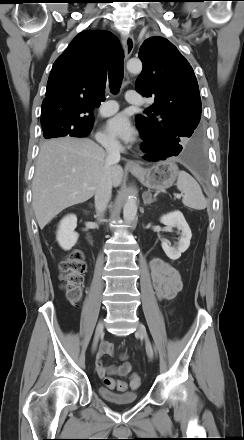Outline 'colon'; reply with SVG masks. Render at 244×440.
<instances>
[{"label": "colon", "instance_id": "obj_1", "mask_svg": "<svg viewBox=\"0 0 244 440\" xmlns=\"http://www.w3.org/2000/svg\"><path fill=\"white\" fill-rule=\"evenodd\" d=\"M59 270L66 299L72 305H76L81 298V284L86 271V263L82 252L75 249L65 255L59 264ZM103 384L108 389H116L118 391L127 389V383L125 381L117 380L109 376L104 377ZM140 384L139 376L134 374L130 380L131 388L137 389Z\"/></svg>", "mask_w": 244, "mask_h": 440}]
</instances>
